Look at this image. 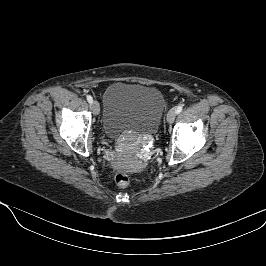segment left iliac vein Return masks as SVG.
<instances>
[{
	"mask_svg": "<svg viewBox=\"0 0 266 266\" xmlns=\"http://www.w3.org/2000/svg\"><path fill=\"white\" fill-rule=\"evenodd\" d=\"M176 117V111L174 109L169 110L167 114V122L173 123Z\"/></svg>",
	"mask_w": 266,
	"mask_h": 266,
	"instance_id": "left-iliac-vein-1",
	"label": "left iliac vein"
}]
</instances>
